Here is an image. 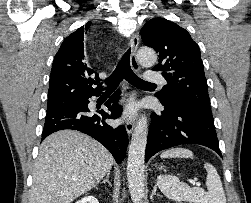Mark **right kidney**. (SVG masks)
<instances>
[{
    "label": "right kidney",
    "instance_id": "obj_1",
    "mask_svg": "<svg viewBox=\"0 0 251 203\" xmlns=\"http://www.w3.org/2000/svg\"><path fill=\"white\" fill-rule=\"evenodd\" d=\"M75 203H99L94 196H86Z\"/></svg>",
    "mask_w": 251,
    "mask_h": 203
}]
</instances>
